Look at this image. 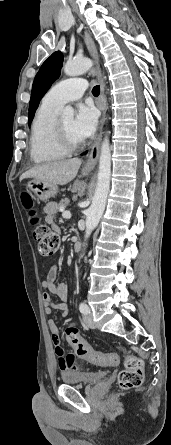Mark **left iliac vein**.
I'll list each match as a JSON object with an SVG mask.
<instances>
[{
    "mask_svg": "<svg viewBox=\"0 0 171 445\" xmlns=\"http://www.w3.org/2000/svg\"><path fill=\"white\" fill-rule=\"evenodd\" d=\"M83 320H84V323L86 324V326H88L89 328H91V329L96 328L90 308H89L88 314L84 315Z\"/></svg>",
    "mask_w": 171,
    "mask_h": 445,
    "instance_id": "4c4485c4",
    "label": "left iliac vein"
}]
</instances>
